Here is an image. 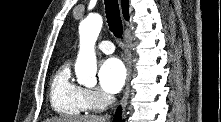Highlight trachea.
<instances>
[{"label": "trachea", "instance_id": "trachea-1", "mask_svg": "<svg viewBox=\"0 0 221 122\" xmlns=\"http://www.w3.org/2000/svg\"><path fill=\"white\" fill-rule=\"evenodd\" d=\"M106 18L110 31L117 38H122L123 27L117 0H105Z\"/></svg>", "mask_w": 221, "mask_h": 122}]
</instances>
